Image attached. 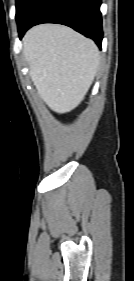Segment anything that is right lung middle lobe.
Wrapping results in <instances>:
<instances>
[{"instance_id":"1","label":"right lung middle lobe","mask_w":134,"mask_h":281,"mask_svg":"<svg viewBox=\"0 0 134 281\" xmlns=\"http://www.w3.org/2000/svg\"><path fill=\"white\" fill-rule=\"evenodd\" d=\"M34 0H16V20L19 26Z\"/></svg>"}]
</instances>
